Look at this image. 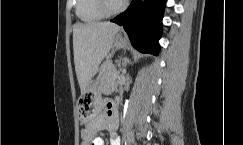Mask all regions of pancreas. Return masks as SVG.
<instances>
[{"instance_id": "obj_1", "label": "pancreas", "mask_w": 243, "mask_h": 145, "mask_svg": "<svg viewBox=\"0 0 243 145\" xmlns=\"http://www.w3.org/2000/svg\"><path fill=\"white\" fill-rule=\"evenodd\" d=\"M101 76L108 82L114 83L117 78V71L109 62L102 66Z\"/></svg>"}]
</instances>
